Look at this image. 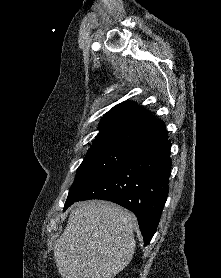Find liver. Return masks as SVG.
<instances>
[{
    "label": "liver",
    "instance_id": "liver-1",
    "mask_svg": "<svg viewBox=\"0 0 221 278\" xmlns=\"http://www.w3.org/2000/svg\"><path fill=\"white\" fill-rule=\"evenodd\" d=\"M136 217L108 201L78 203L54 247L63 278H114L132 260Z\"/></svg>",
    "mask_w": 221,
    "mask_h": 278
}]
</instances>
